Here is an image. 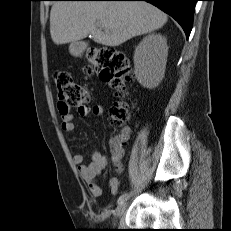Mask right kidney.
<instances>
[{"label":"right kidney","instance_id":"right-kidney-1","mask_svg":"<svg viewBox=\"0 0 231 231\" xmlns=\"http://www.w3.org/2000/svg\"><path fill=\"white\" fill-rule=\"evenodd\" d=\"M167 55V41L160 34H150L138 44L134 52L135 77L143 87L152 89L160 83Z\"/></svg>","mask_w":231,"mask_h":231}]
</instances>
